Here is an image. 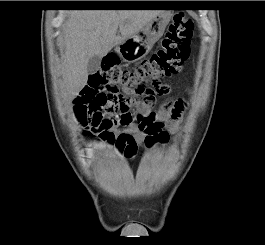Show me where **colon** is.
Segmentation results:
<instances>
[{
  "label": "colon",
  "mask_w": 265,
  "mask_h": 245,
  "mask_svg": "<svg viewBox=\"0 0 265 245\" xmlns=\"http://www.w3.org/2000/svg\"><path fill=\"white\" fill-rule=\"evenodd\" d=\"M193 30V20L184 14H177L160 48L133 70L121 68L116 55H107L102 66L89 77V86L98 92L99 98L84 117L89 125L86 130L87 141L106 138L109 144L116 145L126 154L125 148L117 145L112 136L100 127L128 125L132 122L148 138L161 141L168 139L164 122L154 116L152 107L157 98L167 93L161 80L176 76L188 60ZM124 92L127 95H123ZM136 105H143L144 110L136 112Z\"/></svg>",
  "instance_id": "colon-1"
}]
</instances>
